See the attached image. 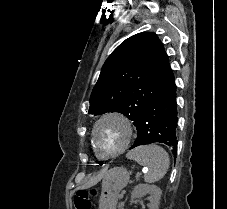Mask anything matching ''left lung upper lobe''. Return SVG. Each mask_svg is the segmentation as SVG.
Listing matches in <instances>:
<instances>
[{"label":"left lung upper lobe","mask_w":227,"mask_h":209,"mask_svg":"<svg viewBox=\"0 0 227 209\" xmlns=\"http://www.w3.org/2000/svg\"><path fill=\"white\" fill-rule=\"evenodd\" d=\"M172 77L168 55L157 35H133L105 61L90 97L89 114L118 112L136 126L148 102Z\"/></svg>","instance_id":"1"}]
</instances>
